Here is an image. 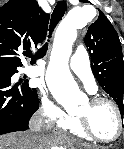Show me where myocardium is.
<instances>
[{
    "mask_svg": "<svg viewBox=\"0 0 124 149\" xmlns=\"http://www.w3.org/2000/svg\"><path fill=\"white\" fill-rule=\"evenodd\" d=\"M89 103L92 106H97L100 104H107L113 108L117 121H118V133L113 139L101 138L93 131L92 127L90 126L88 117L85 115H78L77 120H78V123L82 131L89 138L99 143L111 144V143L117 142L124 135V115L120 107L118 106V104L109 98L101 97V96H96V97L91 98Z\"/></svg>",
    "mask_w": 124,
    "mask_h": 149,
    "instance_id": "1",
    "label": "myocardium"
}]
</instances>
